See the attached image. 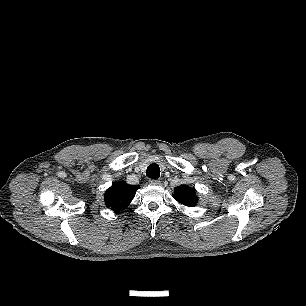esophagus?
Returning <instances> with one entry per match:
<instances>
[{
    "label": "esophagus",
    "mask_w": 306,
    "mask_h": 306,
    "mask_svg": "<svg viewBox=\"0 0 306 306\" xmlns=\"http://www.w3.org/2000/svg\"><path fill=\"white\" fill-rule=\"evenodd\" d=\"M149 183H150V185L156 186V185L160 184V180H158V179H150Z\"/></svg>",
    "instance_id": "1"
}]
</instances>
